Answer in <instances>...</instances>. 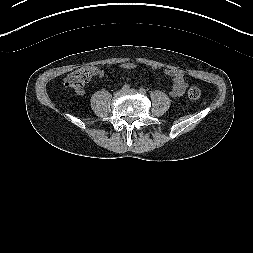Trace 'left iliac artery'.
<instances>
[{
    "instance_id": "1",
    "label": "left iliac artery",
    "mask_w": 253,
    "mask_h": 253,
    "mask_svg": "<svg viewBox=\"0 0 253 253\" xmlns=\"http://www.w3.org/2000/svg\"><path fill=\"white\" fill-rule=\"evenodd\" d=\"M139 92H140V94H143V95L146 94V90H145L144 88H140V89H139Z\"/></svg>"
}]
</instances>
